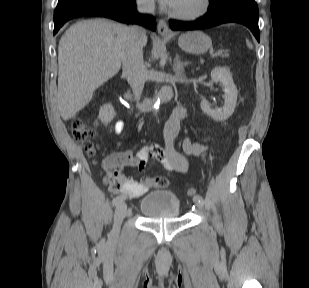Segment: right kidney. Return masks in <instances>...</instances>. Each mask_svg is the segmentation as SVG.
Here are the masks:
<instances>
[{"label": "right kidney", "mask_w": 309, "mask_h": 288, "mask_svg": "<svg viewBox=\"0 0 309 288\" xmlns=\"http://www.w3.org/2000/svg\"><path fill=\"white\" fill-rule=\"evenodd\" d=\"M115 115L114 108L111 104H106L100 107L98 118L103 123H109Z\"/></svg>", "instance_id": "ca27d5eb"}]
</instances>
